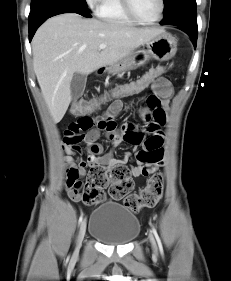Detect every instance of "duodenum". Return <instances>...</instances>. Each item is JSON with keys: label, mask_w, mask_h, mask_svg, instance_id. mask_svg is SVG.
<instances>
[{"label": "duodenum", "mask_w": 231, "mask_h": 281, "mask_svg": "<svg viewBox=\"0 0 231 281\" xmlns=\"http://www.w3.org/2000/svg\"><path fill=\"white\" fill-rule=\"evenodd\" d=\"M103 72V69H98V73L101 74Z\"/></svg>", "instance_id": "duodenum-1"}]
</instances>
